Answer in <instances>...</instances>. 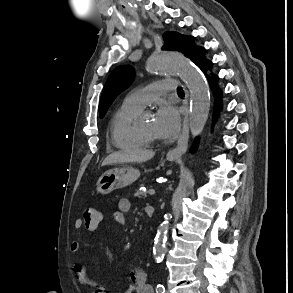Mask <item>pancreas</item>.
Returning a JSON list of instances; mask_svg holds the SVG:
<instances>
[{"label":"pancreas","instance_id":"1","mask_svg":"<svg viewBox=\"0 0 293 293\" xmlns=\"http://www.w3.org/2000/svg\"><path fill=\"white\" fill-rule=\"evenodd\" d=\"M135 197H138V198H146L147 197V193L146 192H139V191H137L135 193Z\"/></svg>","mask_w":293,"mask_h":293}]
</instances>
